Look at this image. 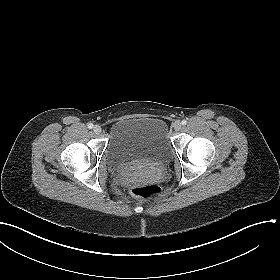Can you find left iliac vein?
Instances as JSON below:
<instances>
[{
    "mask_svg": "<svg viewBox=\"0 0 280 280\" xmlns=\"http://www.w3.org/2000/svg\"><path fill=\"white\" fill-rule=\"evenodd\" d=\"M172 127L175 131H180L182 127V123L177 120L173 123Z\"/></svg>",
    "mask_w": 280,
    "mask_h": 280,
    "instance_id": "obj_1",
    "label": "left iliac vein"
}]
</instances>
